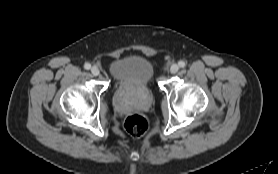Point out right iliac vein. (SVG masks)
I'll use <instances>...</instances> for the list:
<instances>
[{
    "instance_id": "right-iliac-vein-1",
    "label": "right iliac vein",
    "mask_w": 278,
    "mask_h": 174,
    "mask_svg": "<svg viewBox=\"0 0 278 174\" xmlns=\"http://www.w3.org/2000/svg\"><path fill=\"white\" fill-rule=\"evenodd\" d=\"M91 73H92L93 76H98L99 73H100V71H99L98 67L93 66V67L91 68Z\"/></svg>"
}]
</instances>
